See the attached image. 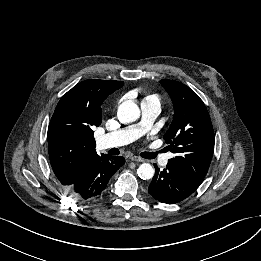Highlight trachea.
<instances>
[{"instance_id":"obj_1","label":"trachea","mask_w":261,"mask_h":261,"mask_svg":"<svg viewBox=\"0 0 261 261\" xmlns=\"http://www.w3.org/2000/svg\"><path fill=\"white\" fill-rule=\"evenodd\" d=\"M156 155L157 153L154 152H144L143 154H141V156L146 159H154Z\"/></svg>"}]
</instances>
